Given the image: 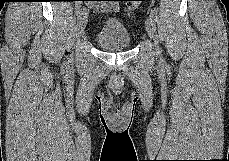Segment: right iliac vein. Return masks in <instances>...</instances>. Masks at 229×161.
Instances as JSON below:
<instances>
[{
    "label": "right iliac vein",
    "mask_w": 229,
    "mask_h": 161,
    "mask_svg": "<svg viewBox=\"0 0 229 161\" xmlns=\"http://www.w3.org/2000/svg\"><path fill=\"white\" fill-rule=\"evenodd\" d=\"M87 18H88V13L84 9L78 17L77 32H76L77 37H79L83 33L87 24Z\"/></svg>",
    "instance_id": "right-iliac-vein-1"
}]
</instances>
